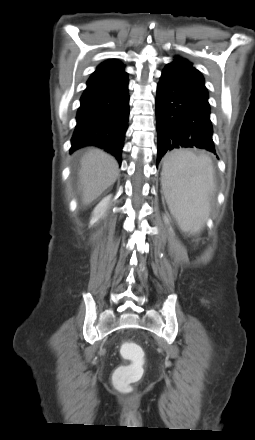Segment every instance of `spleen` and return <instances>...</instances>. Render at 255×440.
Wrapping results in <instances>:
<instances>
[{"instance_id": "spleen-1", "label": "spleen", "mask_w": 255, "mask_h": 440, "mask_svg": "<svg viewBox=\"0 0 255 440\" xmlns=\"http://www.w3.org/2000/svg\"><path fill=\"white\" fill-rule=\"evenodd\" d=\"M162 187L170 212L183 231H199L209 214L213 166L206 155L175 150L164 160Z\"/></svg>"}]
</instances>
